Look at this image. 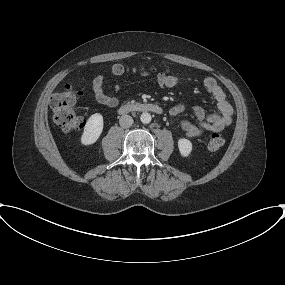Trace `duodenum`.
<instances>
[{
	"label": "duodenum",
	"mask_w": 285,
	"mask_h": 285,
	"mask_svg": "<svg viewBox=\"0 0 285 285\" xmlns=\"http://www.w3.org/2000/svg\"><path fill=\"white\" fill-rule=\"evenodd\" d=\"M162 108L158 104L155 103H134L127 104L122 106L119 109L120 113H128V112H150L155 114H161Z\"/></svg>",
	"instance_id": "1"
}]
</instances>
